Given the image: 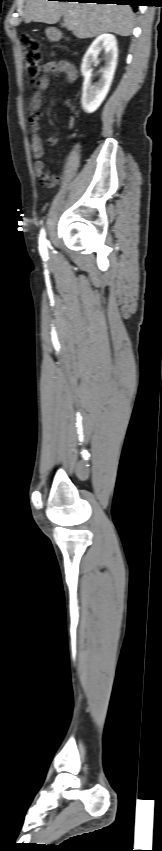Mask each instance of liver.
I'll return each mask as SVG.
<instances>
[{
    "label": "liver",
    "mask_w": 162,
    "mask_h": 851,
    "mask_svg": "<svg viewBox=\"0 0 162 851\" xmlns=\"http://www.w3.org/2000/svg\"><path fill=\"white\" fill-rule=\"evenodd\" d=\"M63 16L64 26L81 39L104 33L129 36L134 15L128 5L27 0L25 22L55 24Z\"/></svg>",
    "instance_id": "obj_1"
}]
</instances>
